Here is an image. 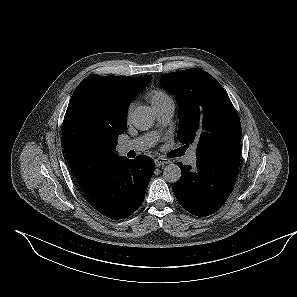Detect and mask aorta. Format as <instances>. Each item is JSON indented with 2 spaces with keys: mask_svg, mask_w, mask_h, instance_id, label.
Segmentation results:
<instances>
[{
  "mask_svg": "<svg viewBox=\"0 0 297 297\" xmlns=\"http://www.w3.org/2000/svg\"><path fill=\"white\" fill-rule=\"evenodd\" d=\"M133 125L140 130H147L153 126L155 115L149 106H138L131 115ZM182 175L181 169L176 164H169L163 170V177L167 182L176 183Z\"/></svg>",
  "mask_w": 297,
  "mask_h": 297,
  "instance_id": "762f6f07",
  "label": "aorta"
}]
</instances>
